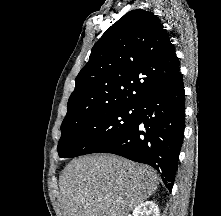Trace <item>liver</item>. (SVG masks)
Returning a JSON list of instances; mask_svg holds the SVG:
<instances>
[{
	"mask_svg": "<svg viewBox=\"0 0 221 216\" xmlns=\"http://www.w3.org/2000/svg\"><path fill=\"white\" fill-rule=\"evenodd\" d=\"M149 166L115 155L72 160L59 178L64 216H127L158 188Z\"/></svg>",
	"mask_w": 221,
	"mask_h": 216,
	"instance_id": "obj_1",
	"label": "liver"
}]
</instances>
